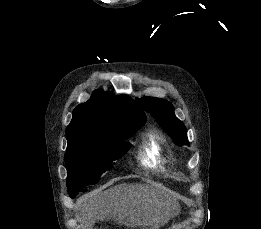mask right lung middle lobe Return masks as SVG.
Here are the masks:
<instances>
[{
  "mask_svg": "<svg viewBox=\"0 0 261 229\" xmlns=\"http://www.w3.org/2000/svg\"><path fill=\"white\" fill-rule=\"evenodd\" d=\"M140 124H126L110 129L115 141H86L67 147L65 163L67 187L71 198L113 167V161L121 158L130 148L123 140L131 137Z\"/></svg>",
  "mask_w": 261,
  "mask_h": 229,
  "instance_id": "1",
  "label": "right lung middle lobe"
}]
</instances>
